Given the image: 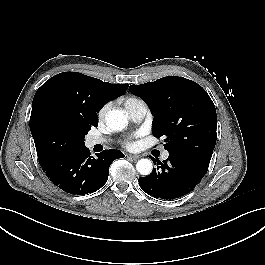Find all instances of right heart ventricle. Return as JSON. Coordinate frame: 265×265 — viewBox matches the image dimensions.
<instances>
[{
  "label": "right heart ventricle",
  "instance_id": "e07e8e85",
  "mask_svg": "<svg viewBox=\"0 0 265 265\" xmlns=\"http://www.w3.org/2000/svg\"><path fill=\"white\" fill-rule=\"evenodd\" d=\"M143 101L137 97H128L125 100V107L128 110L129 108H131L132 106L138 104V103H142Z\"/></svg>",
  "mask_w": 265,
  "mask_h": 265
}]
</instances>
